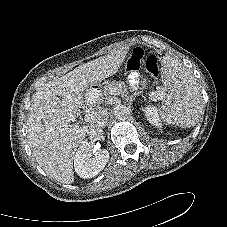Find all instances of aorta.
<instances>
[{
	"mask_svg": "<svg viewBox=\"0 0 227 227\" xmlns=\"http://www.w3.org/2000/svg\"><path fill=\"white\" fill-rule=\"evenodd\" d=\"M113 115L119 120H125L130 115V108L125 105H117L113 109Z\"/></svg>",
	"mask_w": 227,
	"mask_h": 227,
	"instance_id": "1",
	"label": "aorta"
}]
</instances>
